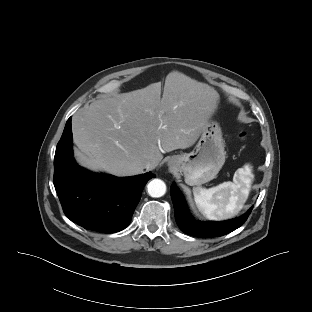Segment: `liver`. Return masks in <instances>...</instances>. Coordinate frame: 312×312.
Returning a JSON list of instances; mask_svg holds the SVG:
<instances>
[{
    "label": "liver",
    "instance_id": "liver-1",
    "mask_svg": "<svg viewBox=\"0 0 312 312\" xmlns=\"http://www.w3.org/2000/svg\"><path fill=\"white\" fill-rule=\"evenodd\" d=\"M219 94L179 72L161 83L101 98L72 118L78 163L118 176L143 173L144 163L162 153L191 147L218 108Z\"/></svg>",
    "mask_w": 312,
    "mask_h": 312
}]
</instances>
